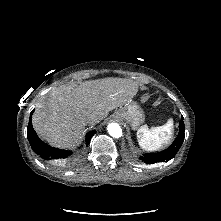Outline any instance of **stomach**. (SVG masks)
<instances>
[{"mask_svg": "<svg viewBox=\"0 0 221 221\" xmlns=\"http://www.w3.org/2000/svg\"><path fill=\"white\" fill-rule=\"evenodd\" d=\"M113 118L121 122L129 123L133 129L139 127L145 120L143 110L132 101L116 110L113 114Z\"/></svg>", "mask_w": 221, "mask_h": 221, "instance_id": "1", "label": "stomach"}]
</instances>
